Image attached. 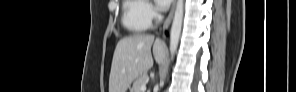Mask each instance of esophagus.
<instances>
[{
	"label": "esophagus",
	"instance_id": "1",
	"mask_svg": "<svg viewBox=\"0 0 296 92\" xmlns=\"http://www.w3.org/2000/svg\"><path fill=\"white\" fill-rule=\"evenodd\" d=\"M175 4H176V0H173L171 10H170L165 22H164V25H163V31H165L172 22L173 15H174V10H175Z\"/></svg>",
	"mask_w": 296,
	"mask_h": 92
}]
</instances>
